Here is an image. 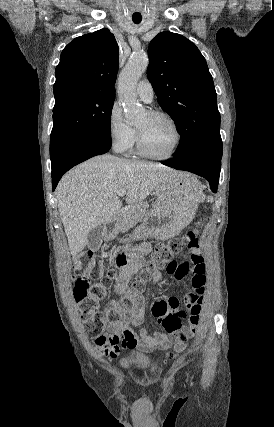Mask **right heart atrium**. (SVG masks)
<instances>
[{
  "instance_id": "obj_1",
  "label": "right heart atrium",
  "mask_w": 274,
  "mask_h": 427,
  "mask_svg": "<svg viewBox=\"0 0 274 427\" xmlns=\"http://www.w3.org/2000/svg\"><path fill=\"white\" fill-rule=\"evenodd\" d=\"M107 131L110 144L115 151L127 152L132 148L135 130L125 122L121 109L116 104L109 111Z\"/></svg>"
}]
</instances>
